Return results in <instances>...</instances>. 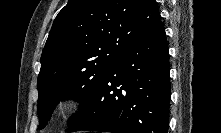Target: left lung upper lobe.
<instances>
[{"label":"left lung upper lobe","mask_w":221,"mask_h":133,"mask_svg":"<svg viewBox=\"0 0 221 133\" xmlns=\"http://www.w3.org/2000/svg\"><path fill=\"white\" fill-rule=\"evenodd\" d=\"M160 20L155 0H68L54 20L38 75L39 128L53 107L74 98L88 105L122 51Z\"/></svg>","instance_id":"obj_1"}]
</instances>
